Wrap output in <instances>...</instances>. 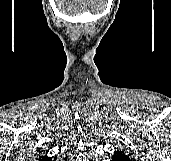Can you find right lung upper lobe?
I'll list each match as a JSON object with an SVG mask.
<instances>
[{"instance_id":"cb5924a9","label":"right lung upper lobe","mask_w":171,"mask_h":161,"mask_svg":"<svg viewBox=\"0 0 171 161\" xmlns=\"http://www.w3.org/2000/svg\"><path fill=\"white\" fill-rule=\"evenodd\" d=\"M40 161H52L51 158L46 156H40Z\"/></svg>"}]
</instances>
